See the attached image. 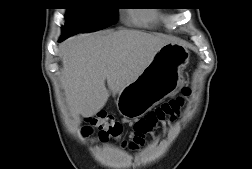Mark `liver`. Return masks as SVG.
<instances>
[{
  "label": "liver",
  "mask_w": 252,
  "mask_h": 169,
  "mask_svg": "<svg viewBox=\"0 0 252 169\" xmlns=\"http://www.w3.org/2000/svg\"><path fill=\"white\" fill-rule=\"evenodd\" d=\"M169 41L165 35L129 29L64 41L60 45L62 86L73 124L80 123V116L96 115L110 93L115 96L135 81Z\"/></svg>",
  "instance_id": "liver-1"
}]
</instances>
